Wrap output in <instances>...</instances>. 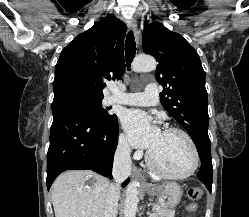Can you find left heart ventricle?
I'll return each instance as SVG.
<instances>
[{
    "instance_id": "b2bd125f",
    "label": "left heart ventricle",
    "mask_w": 249,
    "mask_h": 217,
    "mask_svg": "<svg viewBox=\"0 0 249 217\" xmlns=\"http://www.w3.org/2000/svg\"><path fill=\"white\" fill-rule=\"evenodd\" d=\"M150 151L156 165L169 173H185L193 163L190 145L178 133L162 132L158 143Z\"/></svg>"
}]
</instances>
